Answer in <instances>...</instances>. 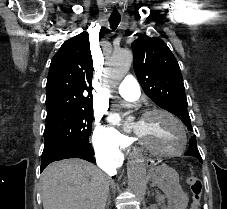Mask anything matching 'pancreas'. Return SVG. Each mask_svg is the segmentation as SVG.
Returning a JSON list of instances; mask_svg holds the SVG:
<instances>
[{"instance_id":"cf45deb5","label":"pancreas","mask_w":227,"mask_h":209,"mask_svg":"<svg viewBox=\"0 0 227 209\" xmlns=\"http://www.w3.org/2000/svg\"><path fill=\"white\" fill-rule=\"evenodd\" d=\"M164 199L165 197H162V199L160 200V209H168L167 205L165 204L166 201Z\"/></svg>"}]
</instances>
